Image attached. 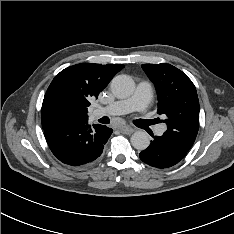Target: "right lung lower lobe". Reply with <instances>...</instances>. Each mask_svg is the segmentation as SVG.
Segmentation results:
<instances>
[{
	"label": "right lung lower lobe",
	"instance_id": "right-lung-lower-lobe-1",
	"mask_svg": "<svg viewBox=\"0 0 234 234\" xmlns=\"http://www.w3.org/2000/svg\"><path fill=\"white\" fill-rule=\"evenodd\" d=\"M88 124V118L71 119L43 127L47 143L57 159L70 166H82L97 159L113 130Z\"/></svg>",
	"mask_w": 234,
	"mask_h": 234
}]
</instances>
